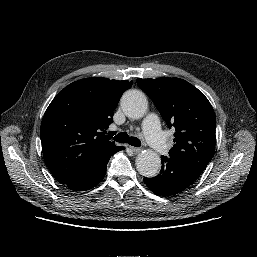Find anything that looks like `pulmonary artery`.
<instances>
[{
  "instance_id": "obj_1",
  "label": "pulmonary artery",
  "mask_w": 257,
  "mask_h": 257,
  "mask_svg": "<svg viewBox=\"0 0 257 257\" xmlns=\"http://www.w3.org/2000/svg\"><path fill=\"white\" fill-rule=\"evenodd\" d=\"M143 131L147 142L153 147L159 155H166L169 147L166 135L162 131L157 115H148L143 122Z\"/></svg>"
}]
</instances>
